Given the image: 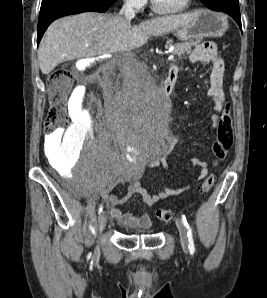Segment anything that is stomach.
I'll return each instance as SVG.
<instances>
[{
	"instance_id": "stomach-1",
	"label": "stomach",
	"mask_w": 267,
	"mask_h": 298,
	"mask_svg": "<svg viewBox=\"0 0 267 298\" xmlns=\"http://www.w3.org/2000/svg\"><path fill=\"white\" fill-rule=\"evenodd\" d=\"M195 18L187 25L175 30L174 35L187 41L200 37H221L228 29V16L210 10L194 12Z\"/></svg>"
}]
</instances>
